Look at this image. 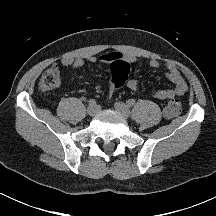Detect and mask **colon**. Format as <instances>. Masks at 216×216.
<instances>
[{
    "label": "colon",
    "mask_w": 216,
    "mask_h": 216,
    "mask_svg": "<svg viewBox=\"0 0 216 216\" xmlns=\"http://www.w3.org/2000/svg\"><path fill=\"white\" fill-rule=\"evenodd\" d=\"M130 65L126 62L116 64L112 70L110 78V90H114L123 86L128 78ZM60 84V72L57 68H49L39 80V90L49 92L57 88ZM182 108V103L177 98L168 101L164 114L166 117L172 118L177 116Z\"/></svg>",
    "instance_id": "5ec220e1"
}]
</instances>
